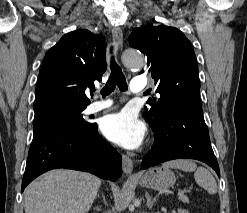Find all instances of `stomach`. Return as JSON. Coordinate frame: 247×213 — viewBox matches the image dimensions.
Instances as JSON below:
<instances>
[{"mask_svg":"<svg viewBox=\"0 0 247 213\" xmlns=\"http://www.w3.org/2000/svg\"><path fill=\"white\" fill-rule=\"evenodd\" d=\"M138 182L143 187L164 190L173 186L176 178L170 169L154 167L140 176Z\"/></svg>","mask_w":247,"mask_h":213,"instance_id":"obj_1","label":"stomach"}]
</instances>
